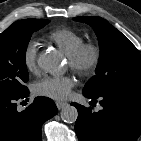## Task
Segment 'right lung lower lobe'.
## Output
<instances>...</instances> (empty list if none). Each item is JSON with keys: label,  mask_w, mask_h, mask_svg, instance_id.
I'll list each match as a JSON object with an SVG mask.
<instances>
[{"label": "right lung lower lobe", "mask_w": 141, "mask_h": 141, "mask_svg": "<svg viewBox=\"0 0 141 141\" xmlns=\"http://www.w3.org/2000/svg\"><path fill=\"white\" fill-rule=\"evenodd\" d=\"M29 91L20 95L0 96V141H41V127L57 113L53 100L36 97L24 111H17V100L27 98Z\"/></svg>", "instance_id": "right-lung-lower-lobe-1"}]
</instances>
